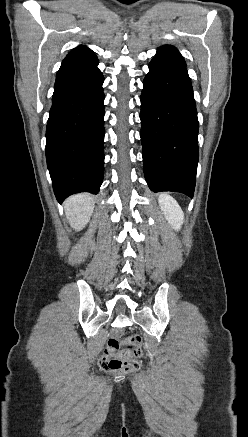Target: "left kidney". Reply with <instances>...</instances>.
<instances>
[{"mask_svg":"<svg viewBox=\"0 0 248 437\" xmlns=\"http://www.w3.org/2000/svg\"><path fill=\"white\" fill-rule=\"evenodd\" d=\"M159 205L168 223L175 230H180L184 221V214L179 204L169 195L159 196Z\"/></svg>","mask_w":248,"mask_h":437,"instance_id":"left-kidney-1","label":"left kidney"}]
</instances>
